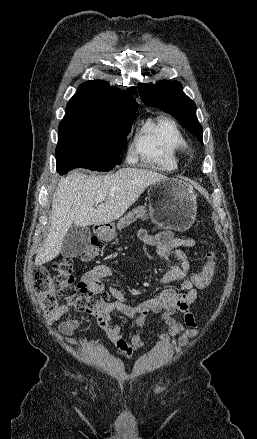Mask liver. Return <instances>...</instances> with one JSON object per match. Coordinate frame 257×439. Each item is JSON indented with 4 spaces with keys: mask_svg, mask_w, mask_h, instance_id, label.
I'll return each mask as SVG.
<instances>
[{
    "mask_svg": "<svg viewBox=\"0 0 257 439\" xmlns=\"http://www.w3.org/2000/svg\"><path fill=\"white\" fill-rule=\"evenodd\" d=\"M165 178L140 168H122L100 176L72 171L61 179L53 195L50 230L35 263L41 265L56 258L73 225L87 227L117 220L149 185ZM100 194L105 195V202L96 207L95 200Z\"/></svg>",
    "mask_w": 257,
    "mask_h": 439,
    "instance_id": "obj_1",
    "label": "liver"
}]
</instances>
